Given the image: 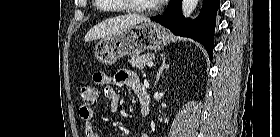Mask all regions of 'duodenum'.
<instances>
[{"mask_svg":"<svg viewBox=\"0 0 280 137\" xmlns=\"http://www.w3.org/2000/svg\"><path fill=\"white\" fill-rule=\"evenodd\" d=\"M138 98L141 104V111L144 115H149L151 112L150 109V97L149 94L145 88V86H141L138 91Z\"/></svg>","mask_w":280,"mask_h":137,"instance_id":"duodenum-1","label":"duodenum"}]
</instances>
